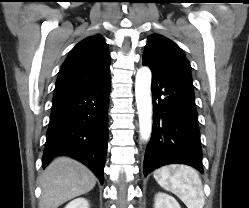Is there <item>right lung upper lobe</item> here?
<instances>
[{
	"label": "right lung upper lobe",
	"mask_w": 249,
	"mask_h": 208,
	"mask_svg": "<svg viewBox=\"0 0 249 208\" xmlns=\"http://www.w3.org/2000/svg\"><path fill=\"white\" fill-rule=\"evenodd\" d=\"M110 76V54L104 39L91 36L80 41L62 64L55 94L94 85Z\"/></svg>",
	"instance_id": "cb5924a9"
}]
</instances>
